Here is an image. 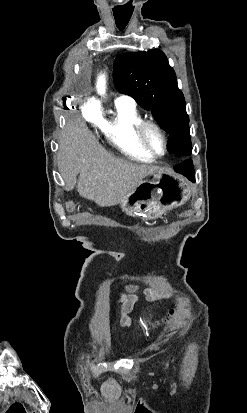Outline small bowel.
Returning a JSON list of instances; mask_svg holds the SVG:
<instances>
[{"label": "small bowel", "instance_id": "small-bowel-1", "mask_svg": "<svg viewBox=\"0 0 247 413\" xmlns=\"http://www.w3.org/2000/svg\"><path fill=\"white\" fill-rule=\"evenodd\" d=\"M137 290L138 287L136 285L128 284L125 285L124 288L119 292L117 305L119 325L121 327H129L132 323L129 314L132 312L139 300ZM146 295L149 299H156L158 297V294L152 290H148L146 292Z\"/></svg>", "mask_w": 247, "mask_h": 413}]
</instances>
